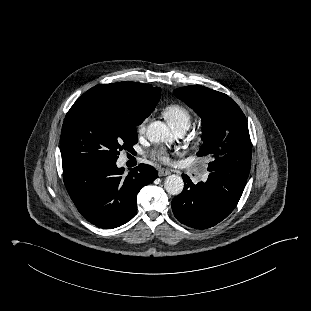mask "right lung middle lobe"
I'll use <instances>...</instances> for the list:
<instances>
[{"mask_svg":"<svg viewBox=\"0 0 311 311\" xmlns=\"http://www.w3.org/2000/svg\"><path fill=\"white\" fill-rule=\"evenodd\" d=\"M155 106L156 103H141L110 87L91 88L73 104L64 119L60 139L62 164L116 162L120 151L133 150L138 141L136 126Z\"/></svg>","mask_w":311,"mask_h":311,"instance_id":"obj_1","label":"right lung middle lobe"}]
</instances>
